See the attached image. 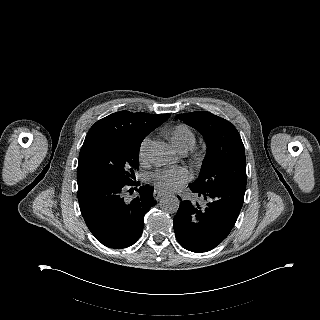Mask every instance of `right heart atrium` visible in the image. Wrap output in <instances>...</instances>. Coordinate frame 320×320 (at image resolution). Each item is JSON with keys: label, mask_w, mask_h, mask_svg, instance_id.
Returning <instances> with one entry per match:
<instances>
[{"label": "right heart atrium", "mask_w": 320, "mask_h": 320, "mask_svg": "<svg viewBox=\"0 0 320 320\" xmlns=\"http://www.w3.org/2000/svg\"><path fill=\"white\" fill-rule=\"evenodd\" d=\"M149 143H150L149 138H144L142 140L140 147H139V156L141 159H144L146 157V150H147Z\"/></svg>", "instance_id": "obj_1"}]
</instances>
